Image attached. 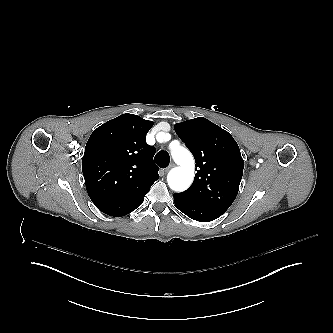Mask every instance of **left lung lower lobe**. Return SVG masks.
Here are the masks:
<instances>
[{"label":"left lung lower lobe","instance_id":"left-lung-lower-lobe-1","mask_svg":"<svg viewBox=\"0 0 333 333\" xmlns=\"http://www.w3.org/2000/svg\"><path fill=\"white\" fill-rule=\"evenodd\" d=\"M174 203L182 213L200 222L212 221L220 217L226 211L195 204L178 196L177 194H174Z\"/></svg>","mask_w":333,"mask_h":333}]
</instances>
